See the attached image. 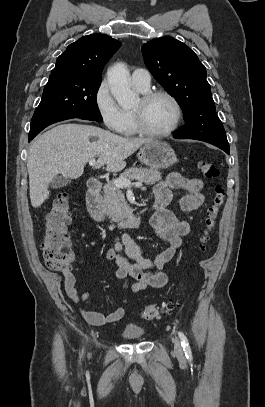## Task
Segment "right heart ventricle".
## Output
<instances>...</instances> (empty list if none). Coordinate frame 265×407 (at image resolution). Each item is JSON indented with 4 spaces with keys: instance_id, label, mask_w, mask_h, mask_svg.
Instances as JSON below:
<instances>
[{
    "instance_id": "obj_1",
    "label": "right heart ventricle",
    "mask_w": 265,
    "mask_h": 407,
    "mask_svg": "<svg viewBox=\"0 0 265 407\" xmlns=\"http://www.w3.org/2000/svg\"><path fill=\"white\" fill-rule=\"evenodd\" d=\"M138 89V88H137ZM141 92H146V90L138 89ZM124 122L119 130V133L125 137H132L137 134L133 125V116L132 111L130 110H123Z\"/></svg>"
}]
</instances>
